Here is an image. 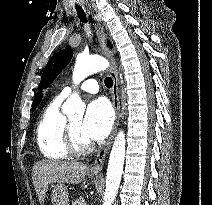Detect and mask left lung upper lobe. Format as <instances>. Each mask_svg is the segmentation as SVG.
<instances>
[{"instance_id": "5c2ea615", "label": "left lung upper lobe", "mask_w": 212, "mask_h": 205, "mask_svg": "<svg viewBox=\"0 0 212 205\" xmlns=\"http://www.w3.org/2000/svg\"><path fill=\"white\" fill-rule=\"evenodd\" d=\"M72 54H73L72 50L66 48L62 51H59L49 59L43 71L41 81L38 87L39 89L48 86L57 77V75L70 62Z\"/></svg>"}]
</instances>
